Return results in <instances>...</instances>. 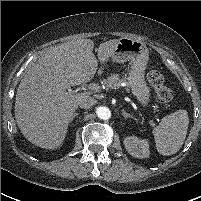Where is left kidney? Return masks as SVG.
I'll list each match as a JSON object with an SVG mask.
<instances>
[{"instance_id":"obj_1","label":"left kidney","mask_w":201,"mask_h":201,"mask_svg":"<svg viewBox=\"0 0 201 201\" xmlns=\"http://www.w3.org/2000/svg\"><path fill=\"white\" fill-rule=\"evenodd\" d=\"M124 145L128 153L136 158H147L150 155L149 144L145 139L129 136L124 139Z\"/></svg>"}]
</instances>
